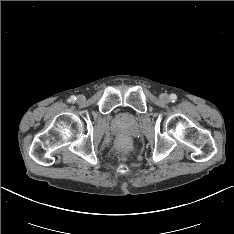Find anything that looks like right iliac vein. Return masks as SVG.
<instances>
[{
  "label": "right iliac vein",
  "instance_id": "1",
  "mask_svg": "<svg viewBox=\"0 0 234 234\" xmlns=\"http://www.w3.org/2000/svg\"><path fill=\"white\" fill-rule=\"evenodd\" d=\"M84 100H85V98H84L83 95L77 96V102H78V103H82Z\"/></svg>",
  "mask_w": 234,
  "mask_h": 234
}]
</instances>
